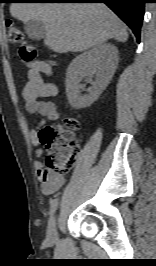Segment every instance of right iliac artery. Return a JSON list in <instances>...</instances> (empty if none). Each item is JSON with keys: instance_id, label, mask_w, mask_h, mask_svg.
<instances>
[{"instance_id": "82829eb1", "label": "right iliac artery", "mask_w": 156, "mask_h": 266, "mask_svg": "<svg viewBox=\"0 0 156 266\" xmlns=\"http://www.w3.org/2000/svg\"><path fill=\"white\" fill-rule=\"evenodd\" d=\"M57 205H58V199H53L51 201V206H50V215H52L56 211Z\"/></svg>"}]
</instances>
